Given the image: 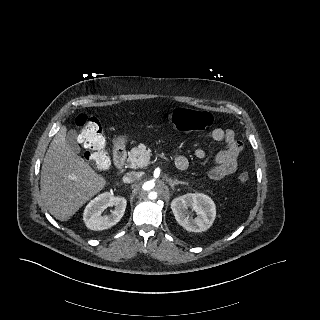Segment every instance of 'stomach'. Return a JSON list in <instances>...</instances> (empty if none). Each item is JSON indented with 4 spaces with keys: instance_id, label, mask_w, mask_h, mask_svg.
<instances>
[{
    "instance_id": "obj_1",
    "label": "stomach",
    "mask_w": 320,
    "mask_h": 320,
    "mask_svg": "<svg viewBox=\"0 0 320 320\" xmlns=\"http://www.w3.org/2000/svg\"><path fill=\"white\" fill-rule=\"evenodd\" d=\"M125 141H126V138L124 136L118 138V144L119 145L124 144Z\"/></svg>"
}]
</instances>
